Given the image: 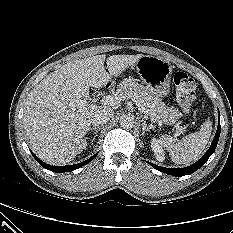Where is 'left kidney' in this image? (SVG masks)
<instances>
[{
	"mask_svg": "<svg viewBox=\"0 0 233 233\" xmlns=\"http://www.w3.org/2000/svg\"><path fill=\"white\" fill-rule=\"evenodd\" d=\"M151 148L154 152L156 159L162 162L165 159V157H164L162 146L160 145V142L158 139L153 138L151 140Z\"/></svg>",
	"mask_w": 233,
	"mask_h": 233,
	"instance_id": "obj_1",
	"label": "left kidney"
}]
</instances>
